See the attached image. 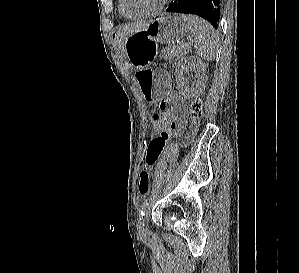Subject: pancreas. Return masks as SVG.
<instances>
[{"label": "pancreas", "mask_w": 299, "mask_h": 273, "mask_svg": "<svg viewBox=\"0 0 299 273\" xmlns=\"http://www.w3.org/2000/svg\"><path fill=\"white\" fill-rule=\"evenodd\" d=\"M190 51V46L186 44H169L162 51L160 57L165 59H172L174 57H181Z\"/></svg>", "instance_id": "pancreas-1"}]
</instances>
